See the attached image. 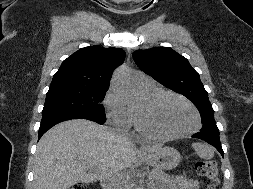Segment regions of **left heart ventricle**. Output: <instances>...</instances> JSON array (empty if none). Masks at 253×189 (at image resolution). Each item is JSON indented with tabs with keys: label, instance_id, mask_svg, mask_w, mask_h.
Wrapping results in <instances>:
<instances>
[{
	"label": "left heart ventricle",
	"instance_id": "left-heart-ventricle-1",
	"mask_svg": "<svg viewBox=\"0 0 253 189\" xmlns=\"http://www.w3.org/2000/svg\"><path fill=\"white\" fill-rule=\"evenodd\" d=\"M147 120L153 129L166 134L183 132L195 125L191 108L173 97L162 98L148 112Z\"/></svg>",
	"mask_w": 253,
	"mask_h": 189
}]
</instances>
